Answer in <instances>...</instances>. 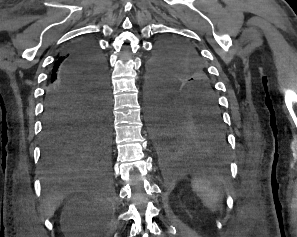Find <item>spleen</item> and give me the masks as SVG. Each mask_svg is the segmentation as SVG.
<instances>
[{
	"mask_svg": "<svg viewBox=\"0 0 297 237\" xmlns=\"http://www.w3.org/2000/svg\"><path fill=\"white\" fill-rule=\"evenodd\" d=\"M218 185V180L205 177L195 178L191 181L192 190L196 192L204 206L212 212L216 211L220 200Z\"/></svg>",
	"mask_w": 297,
	"mask_h": 237,
	"instance_id": "1",
	"label": "spleen"
}]
</instances>
